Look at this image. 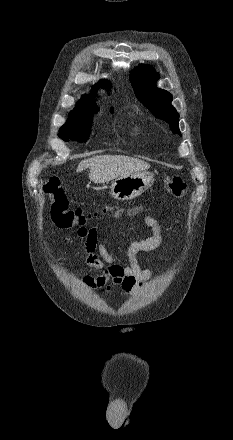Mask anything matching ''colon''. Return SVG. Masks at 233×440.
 Here are the masks:
<instances>
[{"instance_id":"obj_1","label":"colon","mask_w":233,"mask_h":440,"mask_svg":"<svg viewBox=\"0 0 233 440\" xmlns=\"http://www.w3.org/2000/svg\"><path fill=\"white\" fill-rule=\"evenodd\" d=\"M164 183L167 190L176 197L183 196L188 191V183L179 176H167L164 179ZM43 190L52 199L51 217L54 224L60 229L82 228L87 221L100 214L119 216L122 212L119 206L107 203H102L100 208L93 213H85L79 207L71 209L67 193L56 177L46 179L43 184ZM126 211L130 215H135L139 212V209L130 208Z\"/></svg>"}]
</instances>
